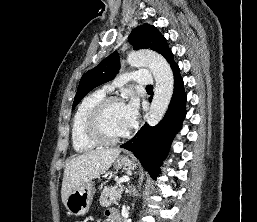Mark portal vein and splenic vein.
<instances>
[{
    "label": "portal vein and splenic vein",
    "instance_id": "portal-vein-and-splenic-vein-1",
    "mask_svg": "<svg viewBox=\"0 0 257 222\" xmlns=\"http://www.w3.org/2000/svg\"><path fill=\"white\" fill-rule=\"evenodd\" d=\"M129 180V177H123L119 182L118 184H120V182H126Z\"/></svg>",
    "mask_w": 257,
    "mask_h": 222
}]
</instances>
